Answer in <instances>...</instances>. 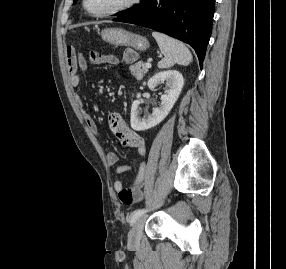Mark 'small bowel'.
Here are the masks:
<instances>
[{"mask_svg": "<svg viewBox=\"0 0 286 269\" xmlns=\"http://www.w3.org/2000/svg\"><path fill=\"white\" fill-rule=\"evenodd\" d=\"M91 59L94 64L117 65L119 63L117 57L113 54L97 53L93 54ZM66 65L68 70L69 83L71 86L77 87L80 84L79 71L87 69V61L83 55L77 54L73 47H68L66 52ZM84 121L91 131L97 132V125L91 114L85 113ZM109 123L113 133L118 131L122 134L123 137L120 142L124 146L136 149L137 154L140 157H144L146 155L147 150L144 138L136 131L130 129L119 113H112L109 117ZM106 161L110 166L116 165L118 163V156L115 153L110 152L106 156ZM133 168V165L130 164L118 165L115 168L116 179L113 183V188L119 194V196L121 192L126 191L128 199L123 201L120 197V200L127 206H131L135 202L141 200L143 196V184L147 174V165L143 161L138 167L137 174L132 185L128 188H125L122 181L118 177L125 172L132 171Z\"/></svg>", "mask_w": 286, "mask_h": 269, "instance_id": "small-bowel-1", "label": "small bowel"}]
</instances>
